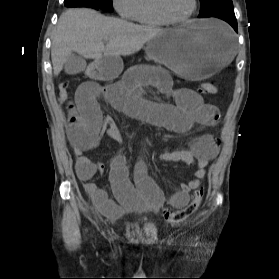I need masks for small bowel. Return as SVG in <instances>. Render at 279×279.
I'll return each instance as SVG.
<instances>
[{
    "label": "small bowel",
    "instance_id": "small-bowel-1",
    "mask_svg": "<svg viewBox=\"0 0 279 279\" xmlns=\"http://www.w3.org/2000/svg\"><path fill=\"white\" fill-rule=\"evenodd\" d=\"M146 85L155 86L162 95L172 97L176 104L148 101L143 97V87ZM101 102L132 118L177 133H185L195 125H216L219 120L218 109L205 103L201 95L192 89L173 88L165 70L142 66L127 69L119 84L84 83L66 102V134L78 156L76 175L96 208L110 218L119 217L123 210H158L165 202V197L159 186L148 176L142 160L137 163L132 180L125 157L118 154L112 160L110 181L117 202L109 198L107 192L93 181L97 174L103 172L104 167L87 157L86 153L99 145L105 133L116 141L122 139L119 126L103 116ZM218 152L219 139L212 134H204L195 137L188 149L161 154L160 158L164 161L196 165L194 177L169 195L168 203L172 207L181 208L187 204L189 193L199 187L200 181L206 176L207 165Z\"/></svg>",
    "mask_w": 279,
    "mask_h": 279
}]
</instances>
